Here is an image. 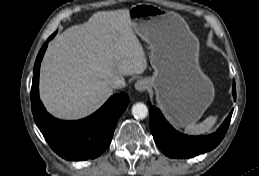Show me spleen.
Here are the masks:
<instances>
[{
  "label": "spleen",
  "instance_id": "spleen-1",
  "mask_svg": "<svg viewBox=\"0 0 259 176\" xmlns=\"http://www.w3.org/2000/svg\"><path fill=\"white\" fill-rule=\"evenodd\" d=\"M217 122V116H208L203 122L199 124H189L184 129L185 133L190 135H201L210 132Z\"/></svg>",
  "mask_w": 259,
  "mask_h": 176
}]
</instances>
